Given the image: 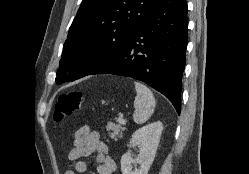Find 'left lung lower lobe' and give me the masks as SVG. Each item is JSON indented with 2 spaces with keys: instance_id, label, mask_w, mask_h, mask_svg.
<instances>
[{
  "instance_id": "1",
  "label": "left lung lower lobe",
  "mask_w": 249,
  "mask_h": 174,
  "mask_svg": "<svg viewBox=\"0 0 249 174\" xmlns=\"http://www.w3.org/2000/svg\"><path fill=\"white\" fill-rule=\"evenodd\" d=\"M187 11L185 0H159L122 55L97 73L143 81L165 95L180 114Z\"/></svg>"
}]
</instances>
